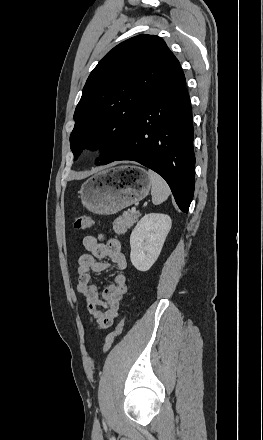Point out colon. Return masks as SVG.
Segmentation results:
<instances>
[{"mask_svg":"<svg viewBox=\"0 0 263 440\" xmlns=\"http://www.w3.org/2000/svg\"><path fill=\"white\" fill-rule=\"evenodd\" d=\"M93 221L86 216H77L74 219L73 227L75 230L81 231L92 227ZM123 322H119L117 326L107 335L105 343L103 345V351L107 352L113 345L116 338L119 336L122 330Z\"/></svg>","mask_w":263,"mask_h":440,"instance_id":"1","label":"colon"}]
</instances>
